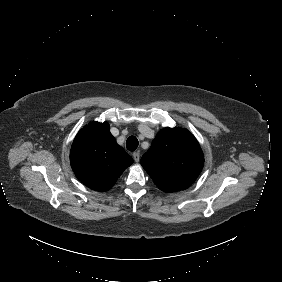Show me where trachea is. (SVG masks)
<instances>
[{"label": "trachea", "mask_w": 282, "mask_h": 282, "mask_svg": "<svg viewBox=\"0 0 282 282\" xmlns=\"http://www.w3.org/2000/svg\"><path fill=\"white\" fill-rule=\"evenodd\" d=\"M138 145H139V141L134 136H130L126 141V148L131 152L135 151Z\"/></svg>", "instance_id": "obj_1"}]
</instances>
